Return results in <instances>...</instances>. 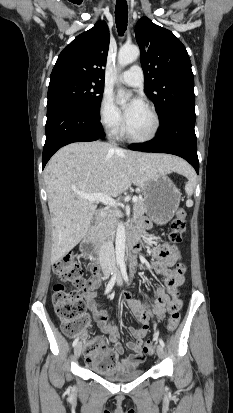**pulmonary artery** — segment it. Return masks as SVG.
I'll return each mask as SVG.
<instances>
[{"label":"pulmonary artery","instance_id":"pulmonary-artery-1","mask_svg":"<svg viewBox=\"0 0 233 413\" xmlns=\"http://www.w3.org/2000/svg\"><path fill=\"white\" fill-rule=\"evenodd\" d=\"M120 80L132 87L142 86L144 81L143 71L140 66L133 65L120 75Z\"/></svg>","mask_w":233,"mask_h":413}]
</instances>
